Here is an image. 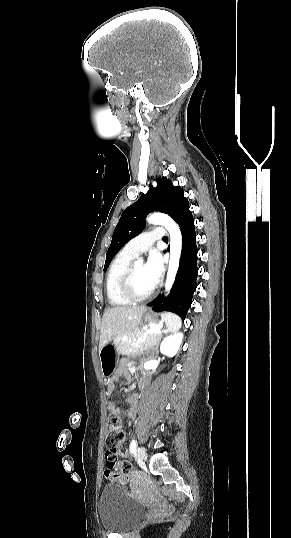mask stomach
Segmentation results:
<instances>
[{
    "label": "stomach",
    "mask_w": 291,
    "mask_h": 538,
    "mask_svg": "<svg viewBox=\"0 0 291 538\" xmlns=\"http://www.w3.org/2000/svg\"><path fill=\"white\" fill-rule=\"evenodd\" d=\"M144 320L148 324H157L156 316L148 312L144 315ZM163 323V321H161ZM118 351L114 345H105L99 350L101 362V373L104 379H110L115 373L118 365Z\"/></svg>",
    "instance_id": "0dacf381"
}]
</instances>
